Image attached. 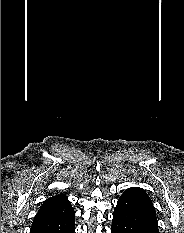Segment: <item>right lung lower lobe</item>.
Masks as SVG:
<instances>
[{"label": "right lung lower lobe", "instance_id": "98d812e1", "mask_svg": "<svg viewBox=\"0 0 184 233\" xmlns=\"http://www.w3.org/2000/svg\"><path fill=\"white\" fill-rule=\"evenodd\" d=\"M30 233H75V212L71 204L38 212Z\"/></svg>", "mask_w": 184, "mask_h": 233}]
</instances>
